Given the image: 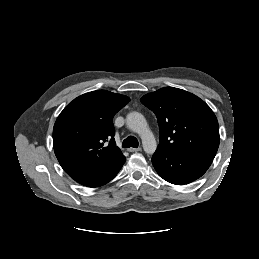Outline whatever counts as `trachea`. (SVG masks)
<instances>
[{
	"label": "trachea",
	"instance_id": "3493384b",
	"mask_svg": "<svg viewBox=\"0 0 259 259\" xmlns=\"http://www.w3.org/2000/svg\"><path fill=\"white\" fill-rule=\"evenodd\" d=\"M139 145L138 140L134 136H128L126 139H124L122 146L124 148H137Z\"/></svg>",
	"mask_w": 259,
	"mask_h": 259
}]
</instances>
